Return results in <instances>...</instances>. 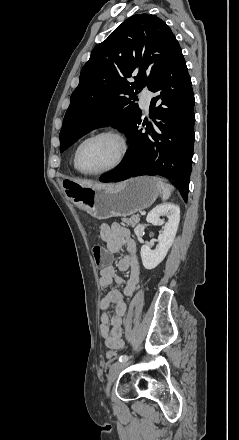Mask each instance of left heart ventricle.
Masks as SVG:
<instances>
[{
  "label": "left heart ventricle",
  "instance_id": "b2bd125f",
  "mask_svg": "<svg viewBox=\"0 0 239 440\" xmlns=\"http://www.w3.org/2000/svg\"><path fill=\"white\" fill-rule=\"evenodd\" d=\"M120 152L118 142L110 136L88 141L80 152V166L86 172H97L112 166Z\"/></svg>",
  "mask_w": 239,
  "mask_h": 440
}]
</instances>
